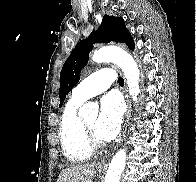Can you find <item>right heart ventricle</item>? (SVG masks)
Wrapping results in <instances>:
<instances>
[{
    "mask_svg": "<svg viewBox=\"0 0 196 182\" xmlns=\"http://www.w3.org/2000/svg\"><path fill=\"white\" fill-rule=\"evenodd\" d=\"M82 102L72 97L64 108L59 124L62 151L72 163H82L89 159L92 153L84 139L82 120L78 114Z\"/></svg>",
    "mask_w": 196,
    "mask_h": 182,
    "instance_id": "1",
    "label": "right heart ventricle"
}]
</instances>
